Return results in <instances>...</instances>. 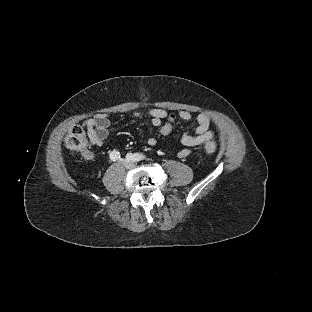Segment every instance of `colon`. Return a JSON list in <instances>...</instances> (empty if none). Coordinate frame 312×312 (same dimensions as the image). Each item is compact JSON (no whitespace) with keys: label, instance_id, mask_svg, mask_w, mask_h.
<instances>
[{"label":"colon","instance_id":"5ec220e1","mask_svg":"<svg viewBox=\"0 0 312 312\" xmlns=\"http://www.w3.org/2000/svg\"><path fill=\"white\" fill-rule=\"evenodd\" d=\"M176 121L177 116L174 113H171L168 116V122L166 123V126L160 130V133L163 136L169 135L175 129ZM66 137L67 146L71 151L83 154L84 158L90 157L89 141L79 127H70L66 132ZM216 149L217 145L215 142L208 141L204 144V151L206 153H214Z\"/></svg>","mask_w":312,"mask_h":312}]
</instances>
